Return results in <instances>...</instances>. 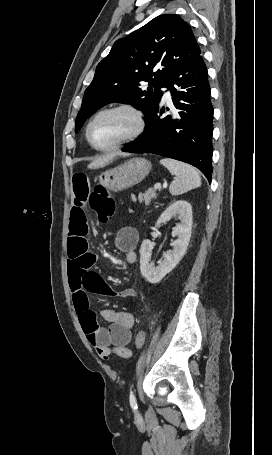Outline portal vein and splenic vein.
<instances>
[{"mask_svg":"<svg viewBox=\"0 0 272 455\" xmlns=\"http://www.w3.org/2000/svg\"><path fill=\"white\" fill-rule=\"evenodd\" d=\"M154 188H155V189H160V188H161V184H159V183L155 184V185H154Z\"/></svg>","mask_w":272,"mask_h":455,"instance_id":"obj_1","label":"portal vein and splenic vein"}]
</instances>
